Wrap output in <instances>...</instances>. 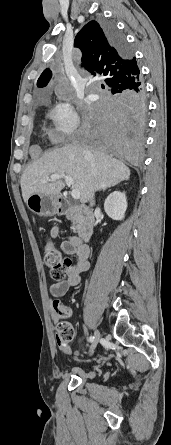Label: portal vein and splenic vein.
<instances>
[{
  "mask_svg": "<svg viewBox=\"0 0 171 445\" xmlns=\"http://www.w3.org/2000/svg\"><path fill=\"white\" fill-rule=\"evenodd\" d=\"M61 178L65 179V182L67 185H73V179L72 177L66 175V174H54L51 175L50 178H47L46 180H44V182H48L49 180H59ZM71 196L73 199L78 200L80 199V192L78 189L73 188L71 191Z\"/></svg>",
  "mask_w": 171,
  "mask_h": 445,
  "instance_id": "1",
  "label": "portal vein and splenic vein"
}]
</instances>
